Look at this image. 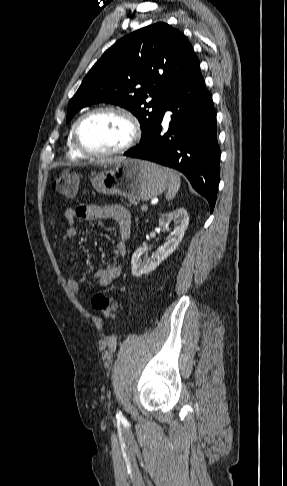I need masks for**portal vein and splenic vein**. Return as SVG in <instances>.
I'll list each match as a JSON object with an SVG mask.
<instances>
[{"label": "portal vein and splenic vein", "instance_id": "obj_1", "mask_svg": "<svg viewBox=\"0 0 287 486\" xmlns=\"http://www.w3.org/2000/svg\"><path fill=\"white\" fill-rule=\"evenodd\" d=\"M141 210L144 211V212H146L148 210V206L147 205H143L141 207Z\"/></svg>", "mask_w": 287, "mask_h": 486}]
</instances>
